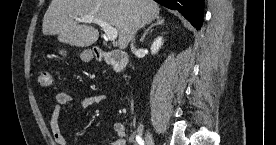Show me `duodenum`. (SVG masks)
<instances>
[{
	"instance_id": "1",
	"label": "duodenum",
	"mask_w": 276,
	"mask_h": 145,
	"mask_svg": "<svg viewBox=\"0 0 276 145\" xmlns=\"http://www.w3.org/2000/svg\"><path fill=\"white\" fill-rule=\"evenodd\" d=\"M96 56L99 60L111 65L113 70L116 72H123L127 68L128 56L122 50L113 49L105 51L101 48H98L96 50Z\"/></svg>"
}]
</instances>
